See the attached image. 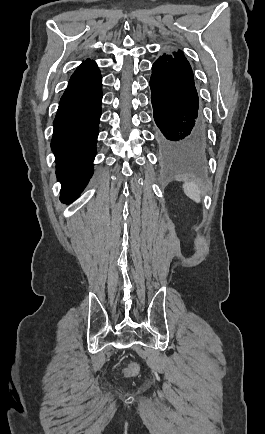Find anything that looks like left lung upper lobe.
<instances>
[{
    "mask_svg": "<svg viewBox=\"0 0 265 434\" xmlns=\"http://www.w3.org/2000/svg\"><path fill=\"white\" fill-rule=\"evenodd\" d=\"M170 56L173 57L174 59H176L180 63V65L191 75V77L194 78V74H193L191 65L188 62V60L186 59V57L184 56L182 51L178 50L176 52H173L172 54H170Z\"/></svg>",
    "mask_w": 265,
    "mask_h": 434,
    "instance_id": "1",
    "label": "left lung upper lobe"
}]
</instances>
